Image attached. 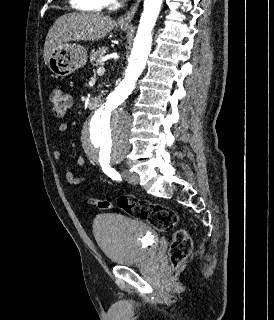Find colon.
<instances>
[{
    "label": "colon",
    "instance_id": "colon-1",
    "mask_svg": "<svg viewBox=\"0 0 274 320\" xmlns=\"http://www.w3.org/2000/svg\"><path fill=\"white\" fill-rule=\"evenodd\" d=\"M49 102L53 114L63 117L71 107L69 93L63 87H53L49 90ZM118 208L135 219L146 221L161 233L169 232L179 224L177 213L165 205L154 203L141 198L121 197L118 200ZM94 203V201H90ZM107 199L99 200L97 205L100 209L112 210L115 206ZM192 239L185 226H180L174 233V239L170 246L169 258L171 265L177 269L183 265L192 251Z\"/></svg>",
    "mask_w": 274,
    "mask_h": 320
}]
</instances>
